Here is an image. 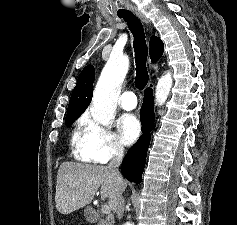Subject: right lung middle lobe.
I'll use <instances>...</instances> for the list:
<instances>
[{
  "mask_svg": "<svg viewBox=\"0 0 237 225\" xmlns=\"http://www.w3.org/2000/svg\"><path fill=\"white\" fill-rule=\"evenodd\" d=\"M81 114H82V112H77V113L67 115L66 120H65V124L67 126L71 125Z\"/></svg>",
  "mask_w": 237,
  "mask_h": 225,
  "instance_id": "obj_1",
  "label": "right lung middle lobe"
}]
</instances>
